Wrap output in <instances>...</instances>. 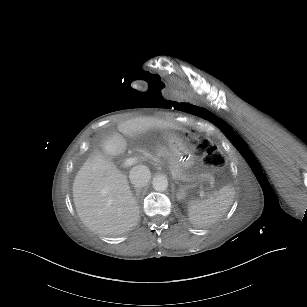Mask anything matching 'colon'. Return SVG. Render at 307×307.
Listing matches in <instances>:
<instances>
[{
	"label": "colon",
	"instance_id": "1",
	"mask_svg": "<svg viewBox=\"0 0 307 307\" xmlns=\"http://www.w3.org/2000/svg\"><path fill=\"white\" fill-rule=\"evenodd\" d=\"M203 146L205 148V162L214 168H222L225 165V158L222 153L209 141H203Z\"/></svg>",
	"mask_w": 307,
	"mask_h": 307
}]
</instances>
